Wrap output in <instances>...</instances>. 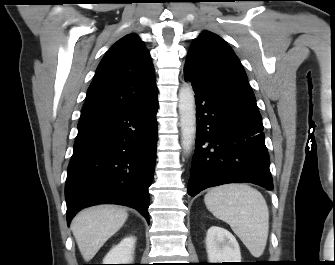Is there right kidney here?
Instances as JSON below:
<instances>
[{"mask_svg": "<svg viewBox=\"0 0 335 265\" xmlns=\"http://www.w3.org/2000/svg\"><path fill=\"white\" fill-rule=\"evenodd\" d=\"M136 239L133 236L125 237L114 246L104 257L103 264H131Z\"/></svg>", "mask_w": 335, "mask_h": 265, "instance_id": "ca27d5eb", "label": "right kidney"}]
</instances>
